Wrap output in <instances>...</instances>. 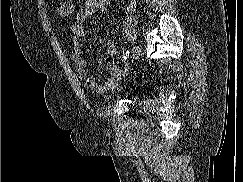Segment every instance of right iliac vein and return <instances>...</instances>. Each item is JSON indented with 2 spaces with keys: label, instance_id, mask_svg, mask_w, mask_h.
<instances>
[{
  "label": "right iliac vein",
  "instance_id": "1",
  "mask_svg": "<svg viewBox=\"0 0 243 182\" xmlns=\"http://www.w3.org/2000/svg\"><path fill=\"white\" fill-rule=\"evenodd\" d=\"M140 53H141V49L139 46H135L132 50V58L133 60H136L139 58L140 56Z\"/></svg>",
  "mask_w": 243,
  "mask_h": 182
}]
</instances>
